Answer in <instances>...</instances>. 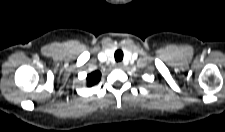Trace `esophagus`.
I'll use <instances>...</instances> for the list:
<instances>
[{
	"label": "esophagus",
	"mask_w": 225,
	"mask_h": 132,
	"mask_svg": "<svg viewBox=\"0 0 225 132\" xmlns=\"http://www.w3.org/2000/svg\"><path fill=\"white\" fill-rule=\"evenodd\" d=\"M123 67V64L122 63H118L117 64V68L121 69Z\"/></svg>",
	"instance_id": "obj_1"
}]
</instances>
